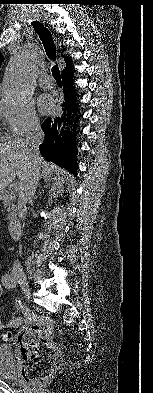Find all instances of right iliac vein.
<instances>
[{
	"instance_id": "right-iliac-vein-1",
	"label": "right iliac vein",
	"mask_w": 153,
	"mask_h": 393,
	"mask_svg": "<svg viewBox=\"0 0 153 393\" xmlns=\"http://www.w3.org/2000/svg\"><path fill=\"white\" fill-rule=\"evenodd\" d=\"M14 279L21 286L25 295L29 298L31 296V289L29 287L26 277L21 273H15Z\"/></svg>"
}]
</instances>
